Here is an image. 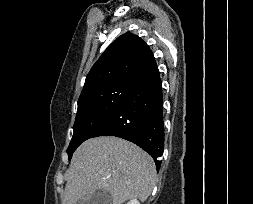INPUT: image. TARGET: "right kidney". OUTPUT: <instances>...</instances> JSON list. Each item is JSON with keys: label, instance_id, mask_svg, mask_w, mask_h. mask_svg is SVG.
Segmentation results:
<instances>
[{"label": "right kidney", "instance_id": "right-kidney-1", "mask_svg": "<svg viewBox=\"0 0 253 204\" xmlns=\"http://www.w3.org/2000/svg\"><path fill=\"white\" fill-rule=\"evenodd\" d=\"M126 204H140V203L137 201V199H133Z\"/></svg>", "mask_w": 253, "mask_h": 204}]
</instances>
